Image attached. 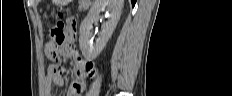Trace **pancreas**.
<instances>
[{
  "label": "pancreas",
  "mask_w": 232,
  "mask_h": 96,
  "mask_svg": "<svg viewBox=\"0 0 232 96\" xmlns=\"http://www.w3.org/2000/svg\"><path fill=\"white\" fill-rule=\"evenodd\" d=\"M90 4H80L79 5V11H84L88 8Z\"/></svg>",
  "instance_id": "pancreas-1"
}]
</instances>
